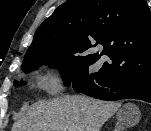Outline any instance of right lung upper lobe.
<instances>
[{
    "label": "right lung upper lobe",
    "instance_id": "right-lung-upper-lobe-1",
    "mask_svg": "<svg viewBox=\"0 0 151 131\" xmlns=\"http://www.w3.org/2000/svg\"><path fill=\"white\" fill-rule=\"evenodd\" d=\"M50 45L75 47L95 62L107 55L104 77L151 75V11L145 0H69L39 26L31 44ZM94 47L101 52L89 53Z\"/></svg>",
    "mask_w": 151,
    "mask_h": 131
}]
</instances>
